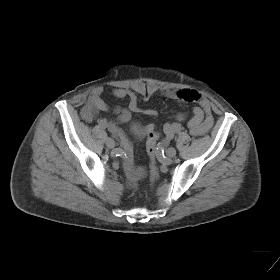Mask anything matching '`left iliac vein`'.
<instances>
[{
	"mask_svg": "<svg viewBox=\"0 0 280 280\" xmlns=\"http://www.w3.org/2000/svg\"><path fill=\"white\" fill-rule=\"evenodd\" d=\"M166 155L169 158H173L176 155V150L174 148L170 147L166 150Z\"/></svg>",
	"mask_w": 280,
	"mask_h": 280,
	"instance_id": "4c4485c4",
	"label": "left iliac vein"
}]
</instances>
